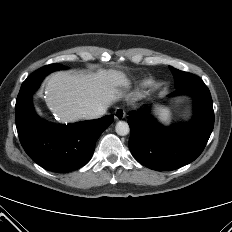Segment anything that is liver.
I'll return each instance as SVG.
<instances>
[{
  "instance_id": "liver-1",
  "label": "liver",
  "mask_w": 232,
  "mask_h": 232,
  "mask_svg": "<svg viewBox=\"0 0 232 232\" xmlns=\"http://www.w3.org/2000/svg\"><path fill=\"white\" fill-rule=\"evenodd\" d=\"M125 74L117 70H99L97 73L58 71L47 79L49 108L62 123L85 118V113L101 106L108 107L121 96L119 87H128Z\"/></svg>"
}]
</instances>
